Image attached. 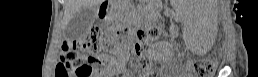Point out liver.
<instances>
[{
    "instance_id": "liver-1",
    "label": "liver",
    "mask_w": 258,
    "mask_h": 77,
    "mask_svg": "<svg viewBox=\"0 0 258 77\" xmlns=\"http://www.w3.org/2000/svg\"><path fill=\"white\" fill-rule=\"evenodd\" d=\"M104 0H65L63 24L67 26L73 16L82 8L96 7Z\"/></svg>"
}]
</instances>
